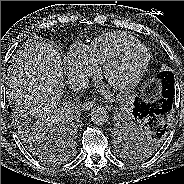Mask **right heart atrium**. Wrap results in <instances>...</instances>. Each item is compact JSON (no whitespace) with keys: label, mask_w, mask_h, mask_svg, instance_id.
<instances>
[{"label":"right heart atrium","mask_w":184,"mask_h":184,"mask_svg":"<svg viewBox=\"0 0 184 184\" xmlns=\"http://www.w3.org/2000/svg\"><path fill=\"white\" fill-rule=\"evenodd\" d=\"M67 66L70 76L79 80H85L98 72V65L89 57L86 47L79 43L69 50Z\"/></svg>","instance_id":"1"}]
</instances>
